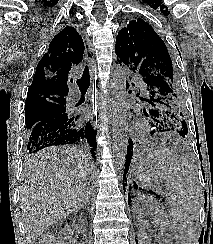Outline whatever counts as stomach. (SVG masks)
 I'll list each match as a JSON object with an SVG mask.
<instances>
[{
    "label": "stomach",
    "instance_id": "0dacf381",
    "mask_svg": "<svg viewBox=\"0 0 213 244\" xmlns=\"http://www.w3.org/2000/svg\"><path fill=\"white\" fill-rule=\"evenodd\" d=\"M140 154H148L144 159H137L133 165V173L138 185L143 188L157 191L162 180L151 158L154 149H140Z\"/></svg>",
    "mask_w": 213,
    "mask_h": 244
}]
</instances>
